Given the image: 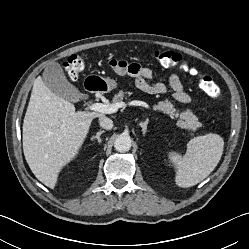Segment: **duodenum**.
Here are the masks:
<instances>
[{
	"mask_svg": "<svg viewBox=\"0 0 249 249\" xmlns=\"http://www.w3.org/2000/svg\"><path fill=\"white\" fill-rule=\"evenodd\" d=\"M86 88H87L88 90H90V91L95 92V93H98V92H99V88H98L97 86H93V85L88 84V85L86 86Z\"/></svg>",
	"mask_w": 249,
	"mask_h": 249,
	"instance_id": "duodenum-1",
	"label": "duodenum"
}]
</instances>
